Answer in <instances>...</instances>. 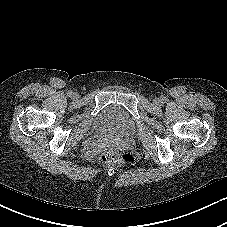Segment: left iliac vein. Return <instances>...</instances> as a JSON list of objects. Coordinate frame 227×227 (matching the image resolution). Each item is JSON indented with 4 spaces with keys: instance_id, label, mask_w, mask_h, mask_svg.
<instances>
[{
    "instance_id": "4c4485c4",
    "label": "left iliac vein",
    "mask_w": 227,
    "mask_h": 227,
    "mask_svg": "<svg viewBox=\"0 0 227 227\" xmlns=\"http://www.w3.org/2000/svg\"><path fill=\"white\" fill-rule=\"evenodd\" d=\"M161 103H162V102H161L160 99H158V98H155V99H154V104H155V105H158V106H159V105H161Z\"/></svg>"
}]
</instances>
